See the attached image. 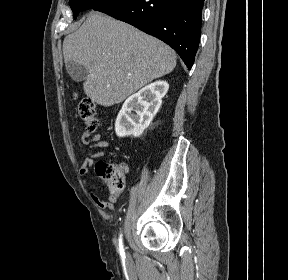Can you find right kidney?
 Wrapping results in <instances>:
<instances>
[{
	"label": "right kidney",
	"instance_id": "1",
	"mask_svg": "<svg viewBox=\"0 0 288 280\" xmlns=\"http://www.w3.org/2000/svg\"><path fill=\"white\" fill-rule=\"evenodd\" d=\"M168 88L166 81H156L128 97L115 122L117 136L139 137L160 109Z\"/></svg>",
	"mask_w": 288,
	"mask_h": 280
}]
</instances>
